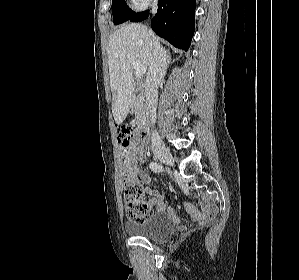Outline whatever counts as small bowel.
I'll list each match as a JSON object with an SVG mask.
<instances>
[{
	"mask_svg": "<svg viewBox=\"0 0 299 280\" xmlns=\"http://www.w3.org/2000/svg\"><path fill=\"white\" fill-rule=\"evenodd\" d=\"M146 151L142 141L138 137H134L132 143L128 149V176L132 182L139 183L143 185L145 192H149L147 185L150 183L149 176L137 166L138 161H145ZM151 208L155 207L157 211L164 212L166 210V205L163 201L162 196L154 195L153 197L145 201ZM186 210L192 216V219L198 223H204L210 220L214 214L215 210L208 204L201 202V210H198L194 206L187 204ZM169 213L173 215L172 209H169Z\"/></svg>",
	"mask_w": 299,
	"mask_h": 280,
	"instance_id": "obj_1",
	"label": "small bowel"
}]
</instances>
